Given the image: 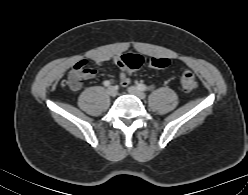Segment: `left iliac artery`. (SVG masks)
Returning <instances> with one entry per match:
<instances>
[{
    "mask_svg": "<svg viewBox=\"0 0 248 195\" xmlns=\"http://www.w3.org/2000/svg\"><path fill=\"white\" fill-rule=\"evenodd\" d=\"M137 87L141 91H147L148 90V87L144 84H138Z\"/></svg>",
    "mask_w": 248,
    "mask_h": 195,
    "instance_id": "obj_1",
    "label": "left iliac artery"
}]
</instances>
